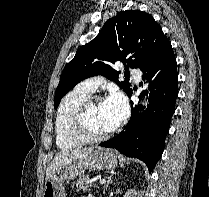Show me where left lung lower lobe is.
<instances>
[{
  "instance_id": "1",
  "label": "left lung lower lobe",
  "mask_w": 209,
  "mask_h": 197,
  "mask_svg": "<svg viewBox=\"0 0 209 197\" xmlns=\"http://www.w3.org/2000/svg\"><path fill=\"white\" fill-rule=\"evenodd\" d=\"M140 70L142 79L151 81L148 108L141 112L142 106L139 110L131 103V119L125 129L100 146L115 148L127 157L138 158L152 171L163 153L178 96L176 59L168 39ZM131 95L132 90L128 96Z\"/></svg>"
}]
</instances>
